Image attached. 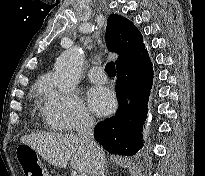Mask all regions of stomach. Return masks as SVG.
<instances>
[{
	"label": "stomach",
	"mask_w": 205,
	"mask_h": 176,
	"mask_svg": "<svg viewBox=\"0 0 205 176\" xmlns=\"http://www.w3.org/2000/svg\"><path fill=\"white\" fill-rule=\"evenodd\" d=\"M22 149L26 150V151H33L35 152L31 147L25 145L24 147H22Z\"/></svg>",
	"instance_id": "1"
}]
</instances>
